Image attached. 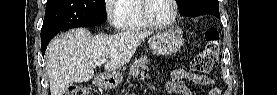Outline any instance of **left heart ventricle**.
<instances>
[{"mask_svg":"<svg viewBox=\"0 0 277 95\" xmlns=\"http://www.w3.org/2000/svg\"><path fill=\"white\" fill-rule=\"evenodd\" d=\"M148 15L155 21H168L173 14L170 0H150L147 8Z\"/></svg>","mask_w":277,"mask_h":95,"instance_id":"left-heart-ventricle-1","label":"left heart ventricle"}]
</instances>
